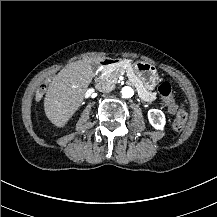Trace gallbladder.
I'll use <instances>...</instances> for the list:
<instances>
[{"instance_id": "1", "label": "gallbladder", "mask_w": 217, "mask_h": 217, "mask_svg": "<svg viewBox=\"0 0 217 217\" xmlns=\"http://www.w3.org/2000/svg\"><path fill=\"white\" fill-rule=\"evenodd\" d=\"M91 68H92L93 73H95L97 71V69H98V64L92 63Z\"/></svg>"}]
</instances>
